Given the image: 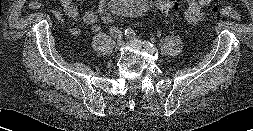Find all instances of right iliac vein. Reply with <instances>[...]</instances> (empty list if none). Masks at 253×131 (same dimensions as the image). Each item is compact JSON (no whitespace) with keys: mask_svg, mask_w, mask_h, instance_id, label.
Instances as JSON below:
<instances>
[{"mask_svg":"<svg viewBox=\"0 0 253 131\" xmlns=\"http://www.w3.org/2000/svg\"><path fill=\"white\" fill-rule=\"evenodd\" d=\"M123 45H124V41L123 40H118V42L115 46V51H119Z\"/></svg>","mask_w":253,"mask_h":131,"instance_id":"63e3f726","label":"right iliac vein"}]
</instances>
